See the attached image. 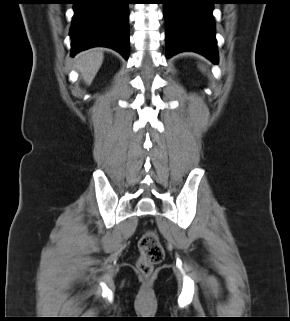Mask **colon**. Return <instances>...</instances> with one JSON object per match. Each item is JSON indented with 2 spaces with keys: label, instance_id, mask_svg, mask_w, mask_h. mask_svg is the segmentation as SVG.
Segmentation results:
<instances>
[{
  "label": "colon",
  "instance_id": "obj_1",
  "mask_svg": "<svg viewBox=\"0 0 290 321\" xmlns=\"http://www.w3.org/2000/svg\"><path fill=\"white\" fill-rule=\"evenodd\" d=\"M140 256L137 262V269L143 276H149L155 265L160 264L165 256L164 248L159 236L148 231L139 240Z\"/></svg>",
  "mask_w": 290,
  "mask_h": 321
}]
</instances>
